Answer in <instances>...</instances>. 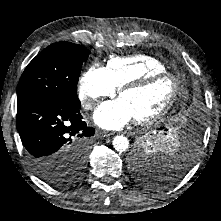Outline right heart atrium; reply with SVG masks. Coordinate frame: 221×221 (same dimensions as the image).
<instances>
[{
  "mask_svg": "<svg viewBox=\"0 0 221 221\" xmlns=\"http://www.w3.org/2000/svg\"><path fill=\"white\" fill-rule=\"evenodd\" d=\"M116 92L107 69L99 64L89 67L80 77L78 96L86 109L94 108L100 99L112 97Z\"/></svg>",
  "mask_w": 221,
  "mask_h": 221,
  "instance_id": "right-heart-atrium-1",
  "label": "right heart atrium"
}]
</instances>
